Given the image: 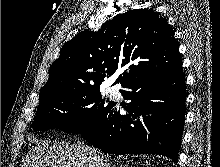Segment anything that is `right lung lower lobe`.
Here are the masks:
<instances>
[{
	"label": "right lung lower lobe",
	"instance_id": "1",
	"mask_svg": "<svg viewBox=\"0 0 220 167\" xmlns=\"http://www.w3.org/2000/svg\"><path fill=\"white\" fill-rule=\"evenodd\" d=\"M120 90L131 102L122 106L112 102L108 110L89 129L83 139L113 154H158L174 162L178 159L185 121L186 85L180 65L137 77Z\"/></svg>",
	"mask_w": 220,
	"mask_h": 167
}]
</instances>
